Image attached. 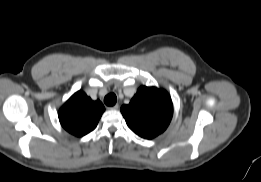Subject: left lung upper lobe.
Wrapping results in <instances>:
<instances>
[{
  "instance_id": "5c2ea615",
  "label": "left lung upper lobe",
  "mask_w": 261,
  "mask_h": 182,
  "mask_svg": "<svg viewBox=\"0 0 261 182\" xmlns=\"http://www.w3.org/2000/svg\"><path fill=\"white\" fill-rule=\"evenodd\" d=\"M121 113L132 131L140 137L152 139L168 127L173 105L166 91L142 86L130 103L121 107Z\"/></svg>"
}]
</instances>
